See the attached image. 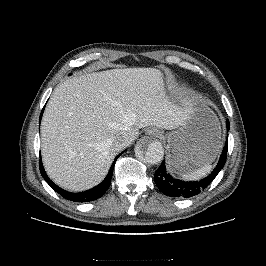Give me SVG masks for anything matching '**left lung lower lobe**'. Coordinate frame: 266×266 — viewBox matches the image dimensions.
I'll list each match as a JSON object with an SVG mask.
<instances>
[{
    "instance_id": "1",
    "label": "left lung lower lobe",
    "mask_w": 266,
    "mask_h": 266,
    "mask_svg": "<svg viewBox=\"0 0 266 266\" xmlns=\"http://www.w3.org/2000/svg\"><path fill=\"white\" fill-rule=\"evenodd\" d=\"M226 127L227 130H229V120L226 121ZM227 150H228V141H226L225 143V147L222 151V154L220 156L216 168L211 172L210 175H208L206 178L200 181L185 182L173 178L167 172L164 160L157 169V171L155 172L154 175L155 183L159 188V190L167 196L178 197V198L193 197L202 192L205 188H207L211 184V182L215 179L220 170L224 167V164L226 163Z\"/></svg>"
}]
</instances>
